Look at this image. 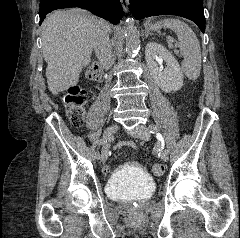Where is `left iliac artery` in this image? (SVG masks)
<instances>
[{
  "label": "left iliac artery",
  "mask_w": 240,
  "mask_h": 238,
  "mask_svg": "<svg viewBox=\"0 0 240 238\" xmlns=\"http://www.w3.org/2000/svg\"><path fill=\"white\" fill-rule=\"evenodd\" d=\"M149 130L151 133H155L158 129L155 125H149ZM161 152L163 155H166L168 152L167 147H162Z\"/></svg>",
  "instance_id": "obj_1"
}]
</instances>
